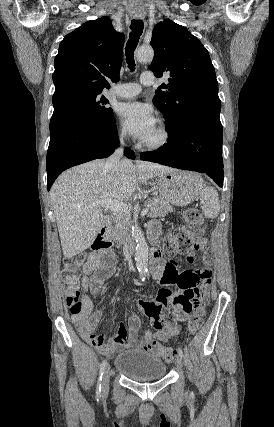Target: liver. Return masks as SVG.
Wrapping results in <instances>:
<instances>
[{"instance_id":"liver-1","label":"liver","mask_w":274,"mask_h":427,"mask_svg":"<svg viewBox=\"0 0 274 427\" xmlns=\"http://www.w3.org/2000/svg\"><path fill=\"white\" fill-rule=\"evenodd\" d=\"M172 168L152 162L120 160L118 170L105 168V160H93L63 172L50 192L64 257H73L93 243L104 215L97 202H124L139 184Z\"/></svg>"}]
</instances>
